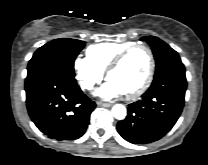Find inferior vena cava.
Masks as SVG:
<instances>
[{
    "mask_svg": "<svg viewBox=\"0 0 208 165\" xmlns=\"http://www.w3.org/2000/svg\"><path fill=\"white\" fill-rule=\"evenodd\" d=\"M87 88H88V89H91V88H92V85H88Z\"/></svg>",
    "mask_w": 208,
    "mask_h": 165,
    "instance_id": "inferior-vena-cava-1",
    "label": "inferior vena cava"
}]
</instances>
